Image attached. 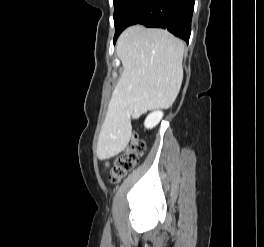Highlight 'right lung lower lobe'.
Instances as JSON below:
<instances>
[{"label":"right lung lower lobe","mask_w":264,"mask_h":247,"mask_svg":"<svg viewBox=\"0 0 264 247\" xmlns=\"http://www.w3.org/2000/svg\"><path fill=\"white\" fill-rule=\"evenodd\" d=\"M194 0H129L123 9L114 36L133 24L164 28L189 41Z\"/></svg>","instance_id":"right-lung-lower-lobe-1"}]
</instances>
